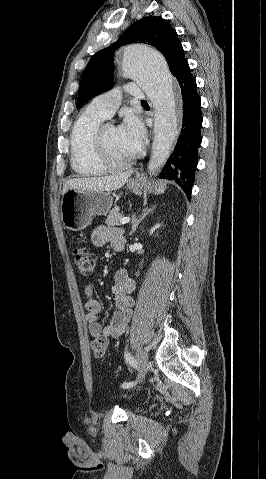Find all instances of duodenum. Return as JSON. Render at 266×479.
<instances>
[{
    "instance_id": "duodenum-1",
    "label": "duodenum",
    "mask_w": 266,
    "mask_h": 479,
    "mask_svg": "<svg viewBox=\"0 0 266 479\" xmlns=\"http://www.w3.org/2000/svg\"><path fill=\"white\" fill-rule=\"evenodd\" d=\"M114 249H115L116 251H120V248H119L117 245L114 246Z\"/></svg>"
}]
</instances>
